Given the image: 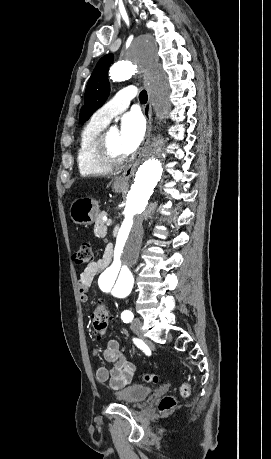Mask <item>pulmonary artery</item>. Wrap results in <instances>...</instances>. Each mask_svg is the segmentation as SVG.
I'll return each instance as SVG.
<instances>
[{"label":"pulmonary artery","mask_w":271,"mask_h":459,"mask_svg":"<svg viewBox=\"0 0 271 459\" xmlns=\"http://www.w3.org/2000/svg\"><path fill=\"white\" fill-rule=\"evenodd\" d=\"M134 96L133 89H119L117 95H113L112 100L103 105L93 117L100 123L108 124L114 116L132 106L131 98Z\"/></svg>","instance_id":"obj_1"}]
</instances>
